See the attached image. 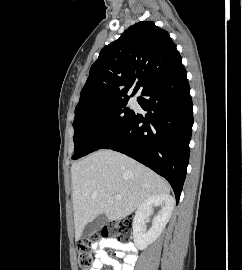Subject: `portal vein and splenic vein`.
Here are the masks:
<instances>
[{
	"label": "portal vein and splenic vein",
	"instance_id": "obj_1",
	"mask_svg": "<svg viewBox=\"0 0 242 270\" xmlns=\"http://www.w3.org/2000/svg\"><path fill=\"white\" fill-rule=\"evenodd\" d=\"M114 197H115L116 200H121L122 199V196L121 195H118V194L115 195Z\"/></svg>",
	"mask_w": 242,
	"mask_h": 270
}]
</instances>
